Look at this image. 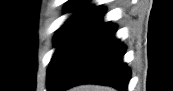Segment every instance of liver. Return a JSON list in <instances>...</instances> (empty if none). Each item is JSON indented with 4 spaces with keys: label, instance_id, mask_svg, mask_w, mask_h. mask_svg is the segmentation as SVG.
Returning a JSON list of instances; mask_svg holds the SVG:
<instances>
[{
    "label": "liver",
    "instance_id": "obj_1",
    "mask_svg": "<svg viewBox=\"0 0 173 91\" xmlns=\"http://www.w3.org/2000/svg\"><path fill=\"white\" fill-rule=\"evenodd\" d=\"M70 91H114V89L97 85H81L72 88Z\"/></svg>",
    "mask_w": 173,
    "mask_h": 91
}]
</instances>
